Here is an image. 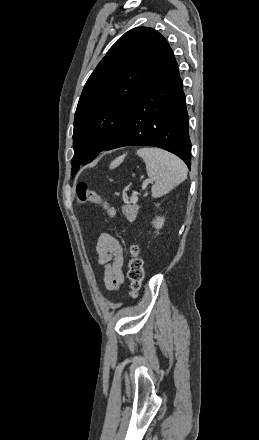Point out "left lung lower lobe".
Segmentation results:
<instances>
[{"label": "left lung lower lobe", "mask_w": 259, "mask_h": 440, "mask_svg": "<svg viewBox=\"0 0 259 440\" xmlns=\"http://www.w3.org/2000/svg\"><path fill=\"white\" fill-rule=\"evenodd\" d=\"M183 82L172 49L166 43L143 92L114 140L104 149L145 145L167 150L190 169L191 142Z\"/></svg>", "instance_id": "1"}]
</instances>
